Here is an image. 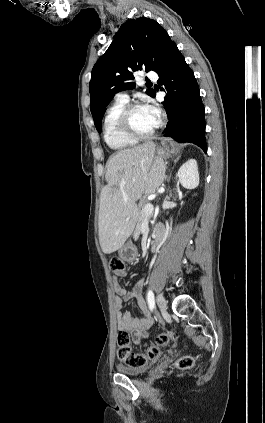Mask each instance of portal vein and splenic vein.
Wrapping results in <instances>:
<instances>
[{"mask_svg":"<svg viewBox=\"0 0 265 423\" xmlns=\"http://www.w3.org/2000/svg\"><path fill=\"white\" fill-rule=\"evenodd\" d=\"M144 211H145V213H146L147 215H151V214L153 213V211H154L153 204H151L150 202H149V203H147V204L145 205V207H144Z\"/></svg>","mask_w":265,"mask_h":423,"instance_id":"portal-vein-and-splenic-vein-1","label":"portal vein and splenic vein"}]
</instances>
